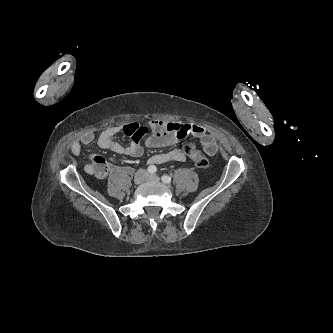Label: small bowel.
Segmentation results:
<instances>
[{
	"mask_svg": "<svg viewBox=\"0 0 333 333\" xmlns=\"http://www.w3.org/2000/svg\"><path fill=\"white\" fill-rule=\"evenodd\" d=\"M123 131L132 141L128 145H123L116 140V135ZM195 136L200 139L203 147V153L196 150V154L204 156H213L217 151V145L214 138L206 133L205 129L197 124H187L179 122H170L159 119H153L148 123V127L141 126L133 122L123 127H109L103 130L98 136L97 142L101 148L111 150L117 154L140 157L144 152L140 140L145 138V145L150 148H159L175 144L184 140L188 136ZM95 140L92 132H87L81 137L75 139L70 149L74 155H79L82 147L91 144ZM193 160V156H189ZM186 154L183 150L175 148L168 152L153 155L149 162L151 165L163 164L170 161H184ZM108 170L104 159L94 156L89 165L86 166V172L97 178H103Z\"/></svg>",
	"mask_w": 333,
	"mask_h": 333,
	"instance_id": "obj_1",
	"label": "small bowel"
}]
</instances>
